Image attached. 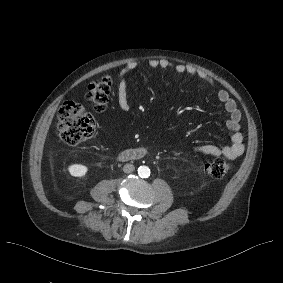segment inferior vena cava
<instances>
[{
    "label": "inferior vena cava",
    "mask_w": 283,
    "mask_h": 283,
    "mask_svg": "<svg viewBox=\"0 0 283 283\" xmlns=\"http://www.w3.org/2000/svg\"><path fill=\"white\" fill-rule=\"evenodd\" d=\"M135 170V167H134V165H132V164H125L124 166H123V171L125 172V173H131V172H133Z\"/></svg>",
    "instance_id": "obj_1"
}]
</instances>
